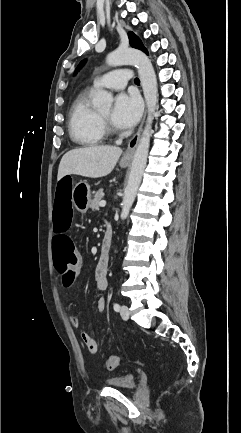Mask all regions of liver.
I'll list each match as a JSON object with an SVG mask.
<instances>
[{
	"instance_id": "obj_1",
	"label": "liver",
	"mask_w": 241,
	"mask_h": 433,
	"mask_svg": "<svg viewBox=\"0 0 241 433\" xmlns=\"http://www.w3.org/2000/svg\"><path fill=\"white\" fill-rule=\"evenodd\" d=\"M122 149L113 146H91L68 151L61 159L57 179L68 174L89 178L104 177L112 172Z\"/></svg>"
}]
</instances>
